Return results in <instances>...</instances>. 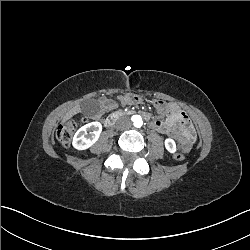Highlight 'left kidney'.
<instances>
[{"label":"left kidney","instance_id":"1","mask_svg":"<svg viewBox=\"0 0 250 250\" xmlns=\"http://www.w3.org/2000/svg\"><path fill=\"white\" fill-rule=\"evenodd\" d=\"M165 147L170 153H174L176 151L175 141L171 138L165 140Z\"/></svg>","mask_w":250,"mask_h":250}]
</instances>
